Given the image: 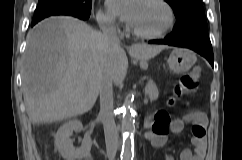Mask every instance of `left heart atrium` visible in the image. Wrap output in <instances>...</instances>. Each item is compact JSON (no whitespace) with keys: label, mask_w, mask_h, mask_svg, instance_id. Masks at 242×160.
Returning a JSON list of instances; mask_svg holds the SVG:
<instances>
[{"label":"left heart atrium","mask_w":242,"mask_h":160,"mask_svg":"<svg viewBox=\"0 0 242 160\" xmlns=\"http://www.w3.org/2000/svg\"><path fill=\"white\" fill-rule=\"evenodd\" d=\"M140 1L141 0H107V6L113 14L131 23L134 20Z\"/></svg>","instance_id":"1"}]
</instances>
